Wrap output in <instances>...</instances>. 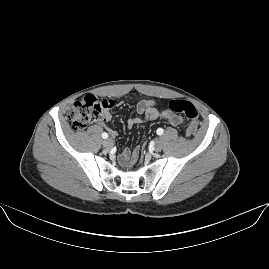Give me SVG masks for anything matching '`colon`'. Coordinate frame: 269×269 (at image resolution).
<instances>
[{
	"instance_id": "1",
	"label": "colon",
	"mask_w": 269,
	"mask_h": 269,
	"mask_svg": "<svg viewBox=\"0 0 269 269\" xmlns=\"http://www.w3.org/2000/svg\"><path fill=\"white\" fill-rule=\"evenodd\" d=\"M115 106L113 97H106L100 100L93 94H88L82 99L76 101L68 112L69 122L77 131L84 130L92 123L102 119V115H109L111 108ZM169 109L174 113H182L186 116L187 122L190 125H195V119L198 118V112L194 105L184 99L175 98L168 103ZM192 132L189 129H184V136L191 138Z\"/></svg>"
}]
</instances>
